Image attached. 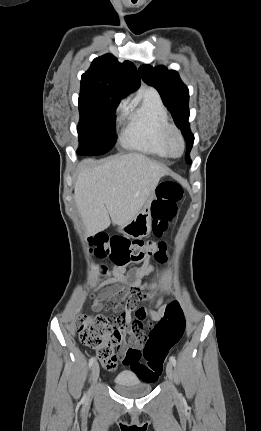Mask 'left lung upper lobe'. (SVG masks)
<instances>
[{
	"mask_svg": "<svg viewBox=\"0 0 261 431\" xmlns=\"http://www.w3.org/2000/svg\"><path fill=\"white\" fill-rule=\"evenodd\" d=\"M141 78L148 85L157 89L163 103L172 113L174 122L181 129L186 140V156L188 164H191L189 152L194 142V136L190 131L189 119V90L181 81L178 73L174 70H168L164 66L155 68L149 65H142L139 68Z\"/></svg>",
	"mask_w": 261,
	"mask_h": 431,
	"instance_id": "obj_1",
	"label": "left lung upper lobe"
}]
</instances>
